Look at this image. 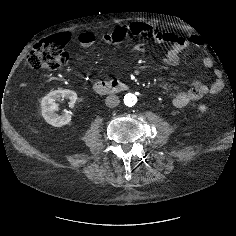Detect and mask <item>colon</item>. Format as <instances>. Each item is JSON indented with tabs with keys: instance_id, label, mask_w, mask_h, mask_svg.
<instances>
[{
	"instance_id": "1",
	"label": "colon",
	"mask_w": 236,
	"mask_h": 236,
	"mask_svg": "<svg viewBox=\"0 0 236 236\" xmlns=\"http://www.w3.org/2000/svg\"><path fill=\"white\" fill-rule=\"evenodd\" d=\"M66 42L58 35L38 43L27 56V65L34 70H55L68 60Z\"/></svg>"
}]
</instances>
